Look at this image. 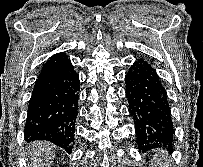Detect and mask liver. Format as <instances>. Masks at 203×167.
Wrapping results in <instances>:
<instances>
[{"mask_svg": "<svg viewBox=\"0 0 203 167\" xmlns=\"http://www.w3.org/2000/svg\"><path fill=\"white\" fill-rule=\"evenodd\" d=\"M28 167H50L55 153L53 146L46 141L31 143L28 147Z\"/></svg>", "mask_w": 203, "mask_h": 167, "instance_id": "liver-1", "label": "liver"}]
</instances>
